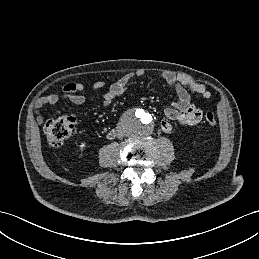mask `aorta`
Here are the masks:
<instances>
[{
  "label": "aorta",
  "instance_id": "obj_1",
  "mask_svg": "<svg viewBox=\"0 0 259 259\" xmlns=\"http://www.w3.org/2000/svg\"><path fill=\"white\" fill-rule=\"evenodd\" d=\"M121 125L125 133L131 137H147L153 132L154 118L149 110L135 108L126 114Z\"/></svg>",
  "mask_w": 259,
  "mask_h": 259
}]
</instances>
